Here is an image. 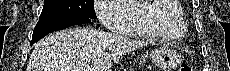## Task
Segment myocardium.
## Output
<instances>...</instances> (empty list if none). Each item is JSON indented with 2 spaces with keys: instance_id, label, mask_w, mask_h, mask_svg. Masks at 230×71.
I'll return each instance as SVG.
<instances>
[{
  "instance_id": "myocardium-1",
  "label": "myocardium",
  "mask_w": 230,
  "mask_h": 71,
  "mask_svg": "<svg viewBox=\"0 0 230 71\" xmlns=\"http://www.w3.org/2000/svg\"><path fill=\"white\" fill-rule=\"evenodd\" d=\"M155 3H171V2H178L177 0H155L154 1ZM159 20L160 22L163 24V25H167V26H170V25H174V26H178L180 28V30L183 32V35L184 33L186 32V26H185V23L184 22H181L179 24H176L174 22H172L171 20V17L169 15H162V16H159Z\"/></svg>"
}]
</instances>
